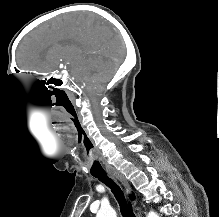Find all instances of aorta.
I'll return each mask as SVG.
<instances>
[{"mask_svg":"<svg viewBox=\"0 0 219 217\" xmlns=\"http://www.w3.org/2000/svg\"><path fill=\"white\" fill-rule=\"evenodd\" d=\"M96 217H117L116 212L110 207L101 208ZM147 217H159L157 213L151 211L148 213Z\"/></svg>","mask_w":219,"mask_h":217,"instance_id":"obj_1","label":"aorta"}]
</instances>
